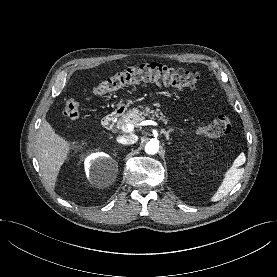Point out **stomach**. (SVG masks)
Returning <instances> with one entry per match:
<instances>
[{
	"label": "stomach",
	"instance_id": "1",
	"mask_svg": "<svg viewBox=\"0 0 277 277\" xmlns=\"http://www.w3.org/2000/svg\"><path fill=\"white\" fill-rule=\"evenodd\" d=\"M130 104H132V101L131 100H127L126 104H122V108L123 107H128Z\"/></svg>",
	"mask_w": 277,
	"mask_h": 277
}]
</instances>
